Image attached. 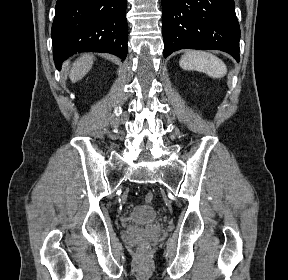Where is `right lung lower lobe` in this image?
<instances>
[{"instance_id":"1","label":"right lung lower lobe","mask_w":288,"mask_h":280,"mask_svg":"<svg viewBox=\"0 0 288 280\" xmlns=\"http://www.w3.org/2000/svg\"><path fill=\"white\" fill-rule=\"evenodd\" d=\"M126 4L127 0H57L51 31L56 68L78 52H107L124 60Z\"/></svg>"}]
</instances>
